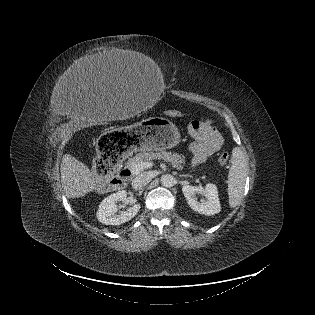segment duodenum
Listing matches in <instances>:
<instances>
[{
  "mask_svg": "<svg viewBox=\"0 0 315 315\" xmlns=\"http://www.w3.org/2000/svg\"><path fill=\"white\" fill-rule=\"evenodd\" d=\"M130 176H131V171L127 168H122L118 174V180H117L118 185L120 186L124 185L126 181L130 178Z\"/></svg>",
  "mask_w": 315,
  "mask_h": 315,
  "instance_id": "obj_1",
  "label": "duodenum"
}]
</instances>
